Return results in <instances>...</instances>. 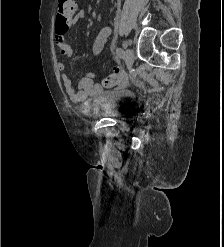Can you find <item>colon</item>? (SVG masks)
Returning a JSON list of instances; mask_svg holds the SVG:
<instances>
[{
	"instance_id": "colon-1",
	"label": "colon",
	"mask_w": 224,
	"mask_h": 247,
	"mask_svg": "<svg viewBox=\"0 0 224 247\" xmlns=\"http://www.w3.org/2000/svg\"><path fill=\"white\" fill-rule=\"evenodd\" d=\"M76 10L77 4L75 0H58L55 26L57 32L66 33L68 31ZM123 79L122 72H114L104 79L103 84L106 87H111L122 82Z\"/></svg>"
}]
</instances>
